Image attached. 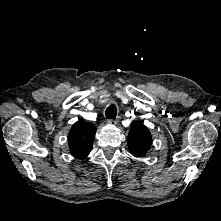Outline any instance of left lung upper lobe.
Returning a JSON list of instances; mask_svg holds the SVG:
<instances>
[{
    "instance_id": "obj_1",
    "label": "left lung upper lobe",
    "mask_w": 221,
    "mask_h": 221,
    "mask_svg": "<svg viewBox=\"0 0 221 221\" xmlns=\"http://www.w3.org/2000/svg\"><path fill=\"white\" fill-rule=\"evenodd\" d=\"M128 148L135 157H143L152 146L148 128L140 122H133L127 138Z\"/></svg>"
}]
</instances>
